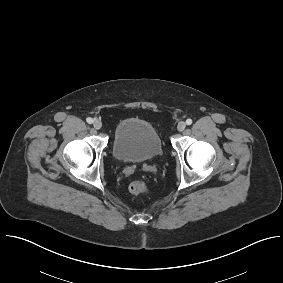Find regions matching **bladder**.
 <instances>
[{"instance_id": "31cf9c89", "label": "bladder", "mask_w": 283, "mask_h": 283, "mask_svg": "<svg viewBox=\"0 0 283 283\" xmlns=\"http://www.w3.org/2000/svg\"><path fill=\"white\" fill-rule=\"evenodd\" d=\"M112 150L122 162H147L162 154L163 145L156 128L140 118H127L114 130Z\"/></svg>"}]
</instances>
